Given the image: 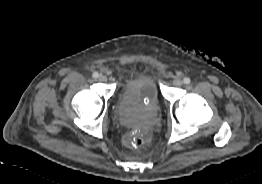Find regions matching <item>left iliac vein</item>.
Instances as JSON below:
<instances>
[{
  "label": "left iliac vein",
  "mask_w": 262,
  "mask_h": 184,
  "mask_svg": "<svg viewBox=\"0 0 262 184\" xmlns=\"http://www.w3.org/2000/svg\"><path fill=\"white\" fill-rule=\"evenodd\" d=\"M182 84H183V81H182L180 78H175V79L173 80V85H174V86L179 87V86H181Z\"/></svg>",
  "instance_id": "1"
}]
</instances>
